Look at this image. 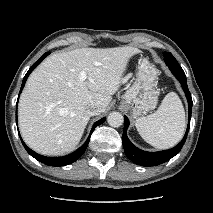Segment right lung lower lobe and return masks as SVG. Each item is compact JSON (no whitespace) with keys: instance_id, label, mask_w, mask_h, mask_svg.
<instances>
[{"instance_id":"1","label":"right lung lower lobe","mask_w":213,"mask_h":213,"mask_svg":"<svg viewBox=\"0 0 213 213\" xmlns=\"http://www.w3.org/2000/svg\"><path fill=\"white\" fill-rule=\"evenodd\" d=\"M50 54V52H46L40 59H38L28 70V72L26 73L25 77L23 78V82H22V86L20 89V93L24 87V84L26 82L27 77L29 76V74L32 72V70L46 57ZM19 93V94H20ZM105 121V117L100 119L99 121H96L93 125V128L90 132V135L88 137V139L86 140V142L75 152L66 155V156H62V157H46V156H42L36 152H34L33 150H31L22 140V144L24 146V148L26 149V151L35 159H37L38 161H40L41 163H44L46 165L49 166H65L68 164H71L73 162H75L77 159L80 158V156L85 152L89 141H90V136L92 134V132L94 131L95 127H97L98 125L104 123ZM16 123H17V119H16ZM21 138V137H20Z\"/></svg>"}]
</instances>
